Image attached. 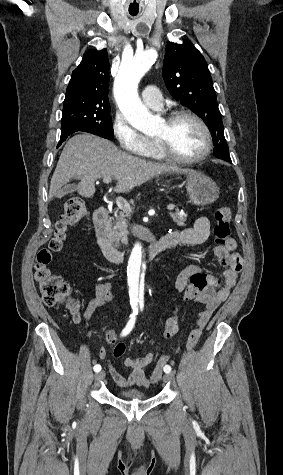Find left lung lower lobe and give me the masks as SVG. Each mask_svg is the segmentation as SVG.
<instances>
[{"label": "left lung lower lobe", "instance_id": "left-lung-lower-lobe-1", "mask_svg": "<svg viewBox=\"0 0 283 475\" xmlns=\"http://www.w3.org/2000/svg\"><path fill=\"white\" fill-rule=\"evenodd\" d=\"M213 138V143H214V155L222 160H225L227 162L231 163V158L229 156V149L223 135H212Z\"/></svg>", "mask_w": 283, "mask_h": 475}]
</instances>
